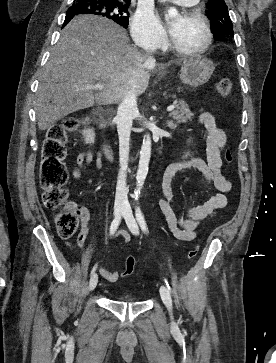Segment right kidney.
I'll return each instance as SVG.
<instances>
[{
	"label": "right kidney",
	"mask_w": 276,
	"mask_h": 363,
	"mask_svg": "<svg viewBox=\"0 0 276 363\" xmlns=\"http://www.w3.org/2000/svg\"><path fill=\"white\" fill-rule=\"evenodd\" d=\"M83 136L85 137L84 141L86 144H93L95 141V132L94 130L91 128L88 129H84L82 131Z\"/></svg>",
	"instance_id": "1"
}]
</instances>
